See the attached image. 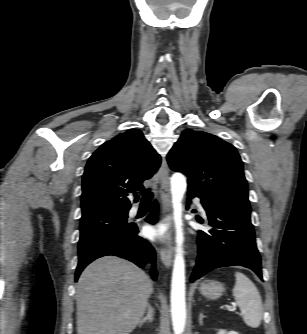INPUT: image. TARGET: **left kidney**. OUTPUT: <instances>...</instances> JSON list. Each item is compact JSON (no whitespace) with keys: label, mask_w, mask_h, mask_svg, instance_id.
<instances>
[{"label":"left kidney","mask_w":307,"mask_h":334,"mask_svg":"<svg viewBox=\"0 0 307 334\" xmlns=\"http://www.w3.org/2000/svg\"><path fill=\"white\" fill-rule=\"evenodd\" d=\"M218 334H239V333H237V332H235V331L226 332V331H224V330H220V331L218 332Z\"/></svg>","instance_id":"5707ae66"}]
</instances>
